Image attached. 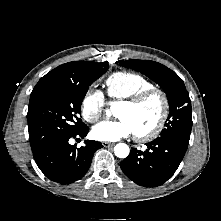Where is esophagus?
I'll list each match as a JSON object with an SVG mask.
<instances>
[{
	"label": "esophagus",
	"instance_id": "1",
	"mask_svg": "<svg viewBox=\"0 0 221 221\" xmlns=\"http://www.w3.org/2000/svg\"><path fill=\"white\" fill-rule=\"evenodd\" d=\"M114 143H111V142H102V146L103 147H110V146H113Z\"/></svg>",
	"mask_w": 221,
	"mask_h": 221
}]
</instances>
